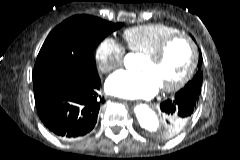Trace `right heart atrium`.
I'll return each instance as SVG.
<instances>
[{
  "instance_id": "d8ad5b80",
  "label": "right heart atrium",
  "mask_w": 240,
  "mask_h": 160,
  "mask_svg": "<svg viewBox=\"0 0 240 160\" xmlns=\"http://www.w3.org/2000/svg\"><path fill=\"white\" fill-rule=\"evenodd\" d=\"M124 55V46L110 37L104 38L95 52L98 67L105 74L118 69L123 63Z\"/></svg>"
}]
</instances>
